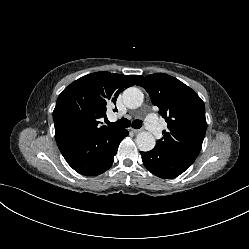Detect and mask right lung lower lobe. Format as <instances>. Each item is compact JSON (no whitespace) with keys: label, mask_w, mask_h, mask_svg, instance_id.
<instances>
[{"label":"right lung lower lobe","mask_w":249,"mask_h":249,"mask_svg":"<svg viewBox=\"0 0 249 249\" xmlns=\"http://www.w3.org/2000/svg\"><path fill=\"white\" fill-rule=\"evenodd\" d=\"M126 129H115L95 136H62L57 145L67 163L78 173L96 176L108 170Z\"/></svg>","instance_id":"98d812e1"}]
</instances>
